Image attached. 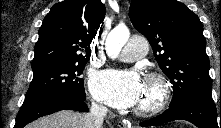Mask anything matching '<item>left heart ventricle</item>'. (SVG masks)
Returning a JSON list of instances; mask_svg holds the SVG:
<instances>
[{"instance_id":"left-heart-ventricle-1","label":"left heart ventricle","mask_w":221,"mask_h":128,"mask_svg":"<svg viewBox=\"0 0 221 128\" xmlns=\"http://www.w3.org/2000/svg\"><path fill=\"white\" fill-rule=\"evenodd\" d=\"M153 92L154 91H153L152 87H150L148 85H144L141 98L136 106H143V105L148 104L153 97V94H154Z\"/></svg>"}]
</instances>
